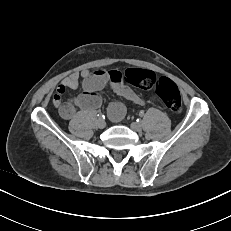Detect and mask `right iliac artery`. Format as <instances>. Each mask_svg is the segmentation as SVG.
Listing matches in <instances>:
<instances>
[{
	"mask_svg": "<svg viewBox=\"0 0 231 231\" xmlns=\"http://www.w3.org/2000/svg\"><path fill=\"white\" fill-rule=\"evenodd\" d=\"M97 116L99 117V119H105V116L101 113H99Z\"/></svg>",
	"mask_w": 231,
	"mask_h": 231,
	"instance_id": "obj_1",
	"label": "right iliac artery"
}]
</instances>
